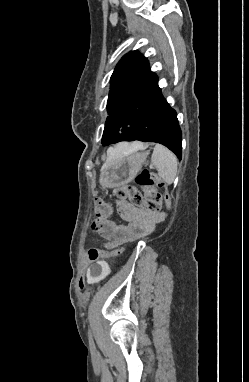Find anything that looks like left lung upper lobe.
Wrapping results in <instances>:
<instances>
[{"label":"left lung upper lobe","instance_id":"left-lung-upper-lobe-1","mask_svg":"<svg viewBox=\"0 0 249 382\" xmlns=\"http://www.w3.org/2000/svg\"><path fill=\"white\" fill-rule=\"evenodd\" d=\"M157 76L147 59L137 51L126 54L111 76L107 109L109 116L102 137L104 146L132 127L160 91Z\"/></svg>","mask_w":249,"mask_h":382}]
</instances>
